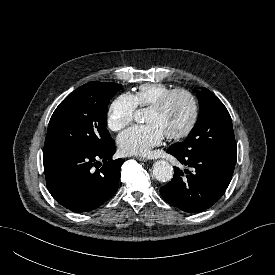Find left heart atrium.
Returning a JSON list of instances; mask_svg holds the SVG:
<instances>
[{"label":"left heart atrium","instance_id":"39dd6f15","mask_svg":"<svg viewBox=\"0 0 275 275\" xmlns=\"http://www.w3.org/2000/svg\"><path fill=\"white\" fill-rule=\"evenodd\" d=\"M164 134L156 124L135 125L118 136V146L125 155H146L161 144Z\"/></svg>","mask_w":275,"mask_h":275}]
</instances>
